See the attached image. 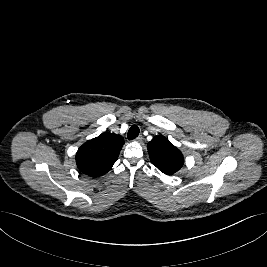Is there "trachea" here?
Wrapping results in <instances>:
<instances>
[{"mask_svg": "<svg viewBox=\"0 0 267 267\" xmlns=\"http://www.w3.org/2000/svg\"><path fill=\"white\" fill-rule=\"evenodd\" d=\"M139 127L137 125H133L130 127L129 131H128V134H127V137L129 140H133L135 139L138 135H139Z\"/></svg>", "mask_w": 267, "mask_h": 267, "instance_id": "trachea-1", "label": "trachea"}]
</instances>
